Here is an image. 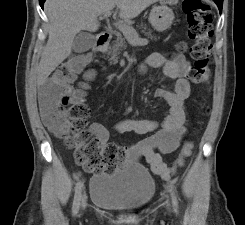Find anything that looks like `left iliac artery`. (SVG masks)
<instances>
[{"label": "left iliac artery", "mask_w": 245, "mask_h": 225, "mask_svg": "<svg viewBox=\"0 0 245 225\" xmlns=\"http://www.w3.org/2000/svg\"><path fill=\"white\" fill-rule=\"evenodd\" d=\"M169 191L171 193L173 206L175 207V210H176L178 207V201H177V197H176L174 188L171 185L169 186Z\"/></svg>", "instance_id": "obj_1"}]
</instances>
